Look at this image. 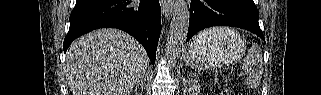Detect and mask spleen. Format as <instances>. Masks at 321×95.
<instances>
[{
    "label": "spleen",
    "mask_w": 321,
    "mask_h": 95,
    "mask_svg": "<svg viewBox=\"0 0 321 95\" xmlns=\"http://www.w3.org/2000/svg\"><path fill=\"white\" fill-rule=\"evenodd\" d=\"M231 32L232 29L230 28H211L199 33L197 37L206 40H217ZM262 64L263 57L261 48L256 44H252L242 62V68L246 76L245 84L248 88L255 89L259 86L263 73ZM192 67L196 68L195 66Z\"/></svg>",
    "instance_id": "spleen-1"
}]
</instances>
